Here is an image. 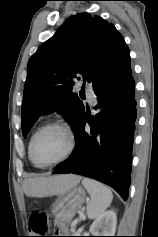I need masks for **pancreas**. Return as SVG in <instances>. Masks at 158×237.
<instances>
[{"label":"pancreas","mask_w":158,"mask_h":237,"mask_svg":"<svg viewBox=\"0 0 158 237\" xmlns=\"http://www.w3.org/2000/svg\"><path fill=\"white\" fill-rule=\"evenodd\" d=\"M71 231H72V233H79V231H75L74 229H72Z\"/></svg>","instance_id":"cf45deb5"}]
</instances>
